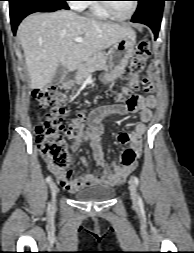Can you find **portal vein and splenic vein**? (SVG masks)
I'll list each match as a JSON object with an SVG mask.
<instances>
[{"label": "portal vein and splenic vein", "mask_w": 194, "mask_h": 253, "mask_svg": "<svg viewBox=\"0 0 194 253\" xmlns=\"http://www.w3.org/2000/svg\"><path fill=\"white\" fill-rule=\"evenodd\" d=\"M74 41H76V42H82L83 38L82 37H77V38L74 39Z\"/></svg>", "instance_id": "18ae733b"}]
</instances>
